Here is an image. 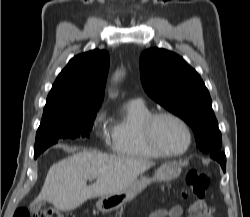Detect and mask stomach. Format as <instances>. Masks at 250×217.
Returning a JSON list of instances; mask_svg holds the SVG:
<instances>
[{"instance_id":"1","label":"stomach","mask_w":250,"mask_h":217,"mask_svg":"<svg viewBox=\"0 0 250 217\" xmlns=\"http://www.w3.org/2000/svg\"><path fill=\"white\" fill-rule=\"evenodd\" d=\"M181 168L174 163H166L160 166L153 179L141 177L136 179L125 190L113 194L102 196L96 203L99 211L109 213L118 210L132 201L141 191H143L152 181L171 180L179 176Z\"/></svg>"}]
</instances>
